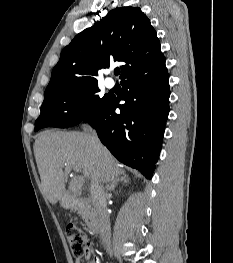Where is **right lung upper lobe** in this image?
Returning <instances> with one entry per match:
<instances>
[{"mask_svg":"<svg viewBox=\"0 0 233 263\" xmlns=\"http://www.w3.org/2000/svg\"><path fill=\"white\" fill-rule=\"evenodd\" d=\"M111 60L125 63L121 66V81L165 64L156 31L140 8L113 9L100 22L80 32L62 50L45 98L97 84L98 70L109 67Z\"/></svg>","mask_w":233,"mask_h":263,"instance_id":"1","label":"right lung upper lobe"}]
</instances>
